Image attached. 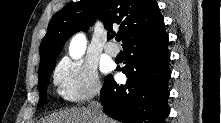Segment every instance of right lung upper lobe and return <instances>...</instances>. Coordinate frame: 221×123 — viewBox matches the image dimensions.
<instances>
[{"instance_id":"obj_1","label":"right lung upper lobe","mask_w":221,"mask_h":123,"mask_svg":"<svg viewBox=\"0 0 221 123\" xmlns=\"http://www.w3.org/2000/svg\"><path fill=\"white\" fill-rule=\"evenodd\" d=\"M99 18L112 39L118 28L123 49L140 40L154 38L165 32L163 17L155 0H80L70 3L51 19L41 42L39 70L59 56L65 42L74 33L86 30Z\"/></svg>"}]
</instances>
